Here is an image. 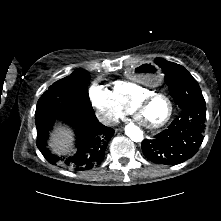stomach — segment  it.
<instances>
[{"instance_id": "stomach-1", "label": "stomach", "mask_w": 221, "mask_h": 221, "mask_svg": "<svg viewBox=\"0 0 221 221\" xmlns=\"http://www.w3.org/2000/svg\"><path fill=\"white\" fill-rule=\"evenodd\" d=\"M165 73V66L159 60H152L143 65H134L128 71V78L134 84H144L147 87L156 86Z\"/></svg>"}]
</instances>
